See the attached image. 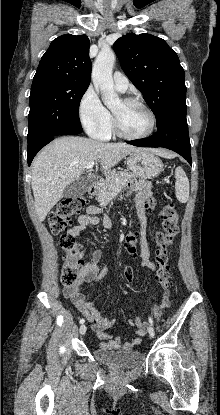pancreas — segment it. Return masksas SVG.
Returning a JSON list of instances; mask_svg holds the SVG:
<instances>
[{
    "label": "pancreas",
    "instance_id": "obj_1",
    "mask_svg": "<svg viewBox=\"0 0 220 415\" xmlns=\"http://www.w3.org/2000/svg\"><path fill=\"white\" fill-rule=\"evenodd\" d=\"M136 176L125 171H112L105 180L97 184L98 201L102 204L109 202L115 193L126 187L129 183H133Z\"/></svg>",
    "mask_w": 220,
    "mask_h": 415
}]
</instances>
